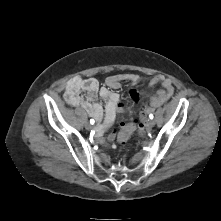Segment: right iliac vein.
<instances>
[{"mask_svg": "<svg viewBox=\"0 0 221 221\" xmlns=\"http://www.w3.org/2000/svg\"><path fill=\"white\" fill-rule=\"evenodd\" d=\"M91 124L89 123V122H86L85 123V128L87 129V130H90L91 129Z\"/></svg>", "mask_w": 221, "mask_h": 221, "instance_id": "63e3f726", "label": "right iliac vein"}]
</instances>
